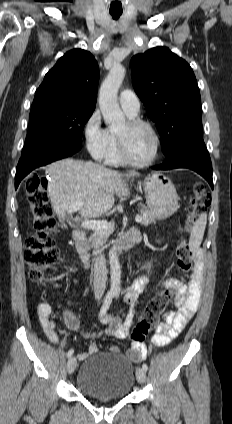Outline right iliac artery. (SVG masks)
I'll list each match as a JSON object with an SVG mask.
<instances>
[{
    "label": "right iliac artery",
    "mask_w": 232,
    "mask_h": 424,
    "mask_svg": "<svg viewBox=\"0 0 232 424\" xmlns=\"http://www.w3.org/2000/svg\"><path fill=\"white\" fill-rule=\"evenodd\" d=\"M113 297H114V294L113 293H108L106 295V298H105V300L103 302V305H102V307L100 309V313H99V318L100 319L106 314L107 310L109 309L110 304H111V302L113 300ZM73 353H74V350L73 349H70L67 352V357L68 358L71 357L73 355Z\"/></svg>",
    "instance_id": "82829eb1"
}]
</instances>
